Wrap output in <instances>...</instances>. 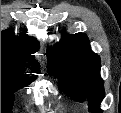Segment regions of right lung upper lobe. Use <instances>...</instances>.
Here are the masks:
<instances>
[{
	"mask_svg": "<svg viewBox=\"0 0 121 113\" xmlns=\"http://www.w3.org/2000/svg\"><path fill=\"white\" fill-rule=\"evenodd\" d=\"M38 48V42L29 39L26 32L20 33V37H16L10 29L1 31V65L22 72V66L18 62L30 61L34 72L39 73V65L31 55L37 52Z\"/></svg>",
	"mask_w": 121,
	"mask_h": 113,
	"instance_id": "right-lung-upper-lobe-1",
	"label": "right lung upper lobe"
}]
</instances>
